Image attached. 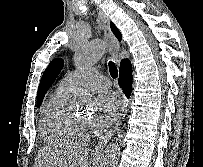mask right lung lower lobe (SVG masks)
Instances as JSON below:
<instances>
[{"label":"right lung lower lobe","mask_w":203,"mask_h":167,"mask_svg":"<svg viewBox=\"0 0 203 167\" xmlns=\"http://www.w3.org/2000/svg\"><path fill=\"white\" fill-rule=\"evenodd\" d=\"M118 83L127 98H129L132 92V68L128 59L121 61Z\"/></svg>","instance_id":"98d812e1"}]
</instances>
